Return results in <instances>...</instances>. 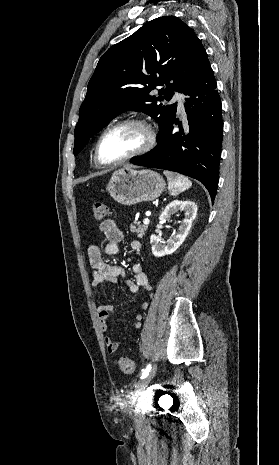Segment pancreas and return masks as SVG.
<instances>
[{
  "label": "pancreas",
  "instance_id": "obj_1",
  "mask_svg": "<svg viewBox=\"0 0 279 465\" xmlns=\"http://www.w3.org/2000/svg\"><path fill=\"white\" fill-rule=\"evenodd\" d=\"M136 225L131 223L130 224V229H131L132 232L136 233L139 238H142L145 235V232H146L148 226L145 225V224H141L140 221H138L136 223Z\"/></svg>",
  "mask_w": 279,
  "mask_h": 465
}]
</instances>
